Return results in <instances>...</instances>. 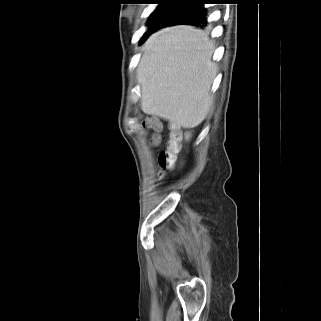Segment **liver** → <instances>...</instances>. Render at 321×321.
I'll use <instances>...</instances> for the list:
<instances>
[{"instance_id":"obj_1","label":"liver","mask_w":321,"mask_h":321,"mask_svg":"<svg viewBox=\"0 0 321 321\" xmlns=\"http://www.w3.org/2000/svg\"><path fill=\"white\" fill-rule=\"evenodd\" d=\"M214 43L192 26L168 27L152 34L137 67L141 108L176 126L197 127L213 103L217 66Z\"/></svg>"}]
</instances>
